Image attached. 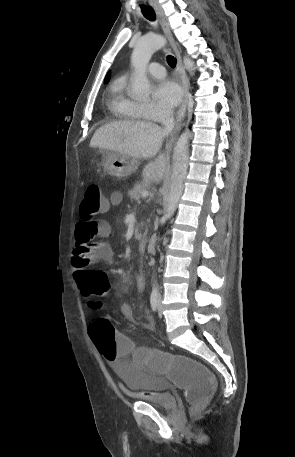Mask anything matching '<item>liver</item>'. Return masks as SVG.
<instances>
[{
	"label": "liver",
	"instance_id": "6515ba94",
	"mask_svg": "<svg viewBox=\"0 0 295 457\" xmlns=\"http://www.w3.org/2000/svg\"><path fill=\"white\" fill-rule=\"evenodd\" d=\"M168 132L160 126L146 121H119L100 127L90 141V147L103 151H114L136 159H151L142 175L147 183L162 181L166 159L159 154L163 139Z\"/></svg>",
	"mask_w": 295,
	"mask_h": 457
}]
</instances>
